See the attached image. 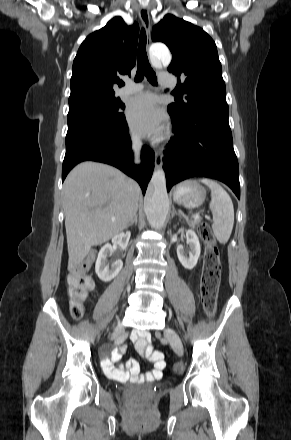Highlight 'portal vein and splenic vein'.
Instances as JSON below:
<instances>
[{"label":"portal vein and splenic vein","instance_id":"18ae733b","mask_svg":"<svg viewBox=\"0 0 291 440\" xmlns=\"http://www.w3.org/2000/svg\"><path fill=\"white\" fill-rule=\"evenodd\" d=\"M198 218V216H195V219H197Z\"/></svg>","mask_w":291,"mask_h":440}]
</instances>
